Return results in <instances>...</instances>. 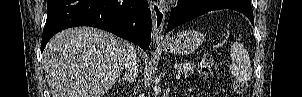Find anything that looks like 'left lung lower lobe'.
<instances>
[{
  "label": "left lung lower lobe",
  "mask_w": 302,
  "mask_h": 97,
  "mask_svg": "<svg viewBox=\"0 0 302 97\" xmlns=\"http://www.w3.org/2000/svg\"><path fill=\"white\" fill-rule=\"evenodd\" d=\"M226 8L245 14L254 25L250 0H184L171 12L167 31L205 13Z\"/></svg>",
  "instance_id": "0a47b994"
}]
</instances>
